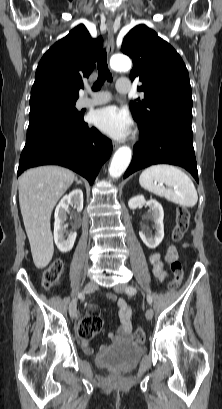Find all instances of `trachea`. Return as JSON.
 Wrapping results in <instances>:
<instances>
[{
	"label": "trachea",
	"mask_w": 222,
	"mask_h": 409,
	"mask_svg": "<svg viewBox=\"0 0 222 409\" xmlns=\"http://www.w3.org/2000/svg\"><path fill=\"white\" fill-rule=\"evenodd\" d=\"M97 69H98V79L93 85V90L97 91L101 88L103 85L105 79L109 82L112 81L111 73L108 69V64H107V54L106 51L103 50L98 57V62H97Z\"/></svg>",
	"instance_id": "3493384b"
}]
</instances>
